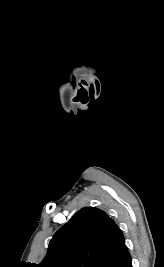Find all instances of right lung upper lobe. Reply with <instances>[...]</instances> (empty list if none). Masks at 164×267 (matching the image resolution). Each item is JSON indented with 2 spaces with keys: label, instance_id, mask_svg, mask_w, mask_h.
Masks as SVG:
<instances>
[{
  "label": "right lung upper lobe",
  "instance_id": "1",
  "mask_svg": "<svg viewBox=\"0 0 164 267\" xmlns=\"http://www.w3.org/2000/svg\"><path fill=\"white\" fill-rule=\"evenodd\" d=\"M125 246L122 231L102 210L84 207L53 236L40 267H99Z\"/></svg>",
  "mask_w": 164,
  "mask_h": 267
}]
</instances>
